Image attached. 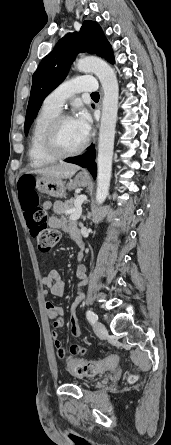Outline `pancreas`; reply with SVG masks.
<instances>
[{
	"mask_svg": "<svg viewBox=\"0 0 171 445\" xmlns=\"http://www.w3.org/2000/svg\"><path fill=\"white\" fill-rule=\"evenodd\" d=\"M75 208V199L66 200L65 202L56 201L53 205V211L56 214H67L66 211Z\"/></svg>",
	"mask_w": 171,
	"mask_h": 445,
	"instance_id": "1",
	"label": "pancreas"
}]
</instances>
